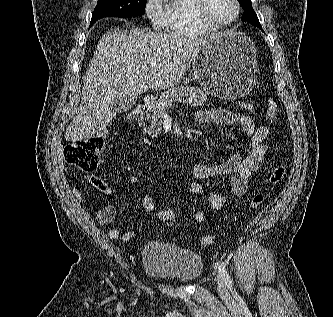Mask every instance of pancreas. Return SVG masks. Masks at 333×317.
Here are the masks:
<instances>
[{
  "label": "pancreas",
  "instance_id": "pancreas-1",
  "mask_svg": "<svg viewBox=\"0 0 333 317\" xmlns=\"http://www.w3.org/2000/svg\"><path fill=\"white\" fill-rule=\"evenodd\" d=\"M207 100V94L202 89L192 86H179L163 93L158 101L152 106L148 114L150 127L145 131L151 136L160 133L161 119L174 103H187L194 107L202 106Z\"/></svg>",
  "mask_w": 333,
  "mask_h": 317
}]
</instances>
